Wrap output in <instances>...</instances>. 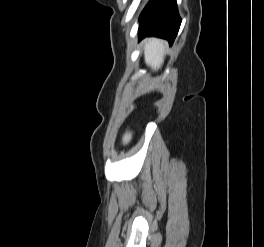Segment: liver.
<instances>
[{
	"mask_svg": "<svg viewBox=\"0 0 264 247\" xmlns=\"http://www.w3.org/2000/svg\"><path fill=\"white\" fill-rule=\"evenodd\" d=\"M167 44L164 40L157 38H150L144 42V59L145 63L151 67L152 70L161 68L164 62V53ZM151 88V87H150ZM131 140V133H126L123 137V144H127Z\"/></svg>",
	"mask_w": 264,
	"mask_h": 247,
	"instance_id": "1",
	"label": "liver"
}]
</instances>
